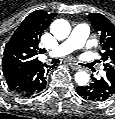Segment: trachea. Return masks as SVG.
Listing matches in <instances>:
<instances>
[{"label":"trachea","mask_w":115,"mask_h":119,"mask_svg":"<svg viewBox=\"0 0 115 119\" xmlns=\"http://www.w3.org/2000/svg\"><path fill=\"white\" fill-rule=\"evenodd\" d=\"M56 63H60V60L56 58L51 60V64H56Z\"/></svg>","instance_id":"3493384b"}]
</instances>
